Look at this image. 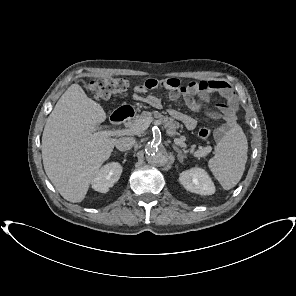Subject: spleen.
Here are the masks:
<instances>
[{
	"mask_svg": "<svg viewBox=\"0 0 296 296\" xmlns=\"http://www.w3.org/2000/svg\"><path fill=\"white\" fill-rule=\"evenodd\" d=\"M248 143L240 126L230 129L215 147V155L208 162L214 177L225 190L241 179L247 161Z\"/></svg>",
	"mask_w": 296,
	"mask_h": 296,
	"instance_id": "3e777b00",
	"label": "spleen"
}]
</instances>
